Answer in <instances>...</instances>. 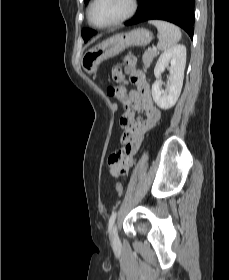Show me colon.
Instances as JSON below:
<instances>
[{"label":"colon","mask_w":229,"mask_h":280,"mask_svg":"<svg viewBox=\"0 0 229 280\" xmlns=\"http://www.w3.org/2000/svg\"><path fill=\"white\" fill-rule=\"evenodd\" d=\"M125 72L130 76L133 82H137L141 77V70L135 67L134 58L130 55L124 58ZM132 118L130 115L124 114L121 117V125L123 128H127L131 125ZM126 152L123 150L114 151L108 158V164L111 170L117 174H123L126 172L129 165V160L125 159ZM116 192L121 195L123 193V187L120 183L115 185Z\"/></svg>","instance_id":"1"}]
</instances>
